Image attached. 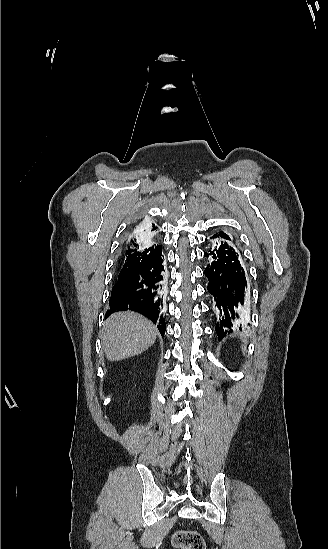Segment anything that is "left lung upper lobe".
Returning a JSON list of instances; mask_svg holds the SVG:
<instances>
[{
	"instance_id": "left-lung-upper-lobe-1",
	"label": "left lung upper lobe",
	"mask_w": 328,
	"mask_h": 549,
	"mask_svg": "<svg viewBox=\"0 0 328 549\" xmlns=\"http://www.w3.org/2000/svg\"><path fill=\"white\" fill-rule=\"evenodd\" d=\"M218 236H220V237H222L226 240H231L230 236L227 235L225 232H222V231L219 232Z\"/></svg>"
}]
</instances>
